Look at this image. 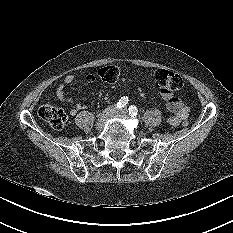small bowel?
Returning a JSON list of instances; mask_svg holds the SVG:
<instances>
[{
	"mask_svg": "<svg viewBox=\"0 0 233 233\" xmlns=\"http://www.w3.org/2000/svg\"><path fill=\"white\" fill-rule=\"evenodd\" d=\"M74 81L73 75H67L63 82L58 86L56 90V97L65 105H69V112L71 115H76L77 112L88 108L86 104L75 103L72 98L66 96V86ZM162 98L166 101L167 109L173 113L168 119V123L172 126H178L186 121L189 115V108L182 102V100L174 96L171 92L161 91Z\"/></svg>",
	"mask_w": 233,
	"mask_h": 233,
	"instance_id": "1",
	"label": "small bowel"
}]
</instances>
